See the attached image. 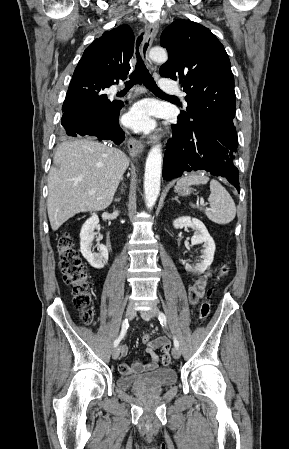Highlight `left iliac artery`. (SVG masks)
Returning a JSON list of instances; mask_svg holds the SVG:
<instances>
[{"label":"left iliac artery","mask_w":289,"mask_h":449,"mask_svg":"<svg viewBox=\"0 0 289 449\" xmlns=\"http://www.w3.org/2000/svg\"><path fill=\"white\" fill-rule=\"evenodd\" d=\"M158 318H159L160 323H161L162 325H165V326H166L167 320H166V316L164 315V313L160 312L159 315H158ZM173 340H174V346H175L176 348H178V347H179V342H178V340H177L175 337H173Z\"/></svg>","instance_id":"obj_1"}]
</instances>
